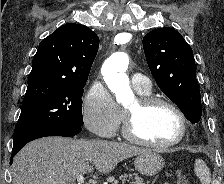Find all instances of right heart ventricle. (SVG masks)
<instances>
[{
  "label": "right heart ventricle",
  "instance_id": "e07e8e85",
  "mask_svg": "<svg viewBox=\"0 0 224 184\" xmlns=\"http://www.w3.org/2000/svg\"><path fill=\"white\" fill-rule=\"evenodd\" d=\"M141 96H146L150 94V91H137Z\"/></svg>",
  "mask_w": 224,
  "mask_h": 184
}]
</instances>
